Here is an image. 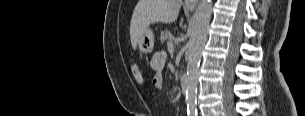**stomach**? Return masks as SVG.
<instances>
[{"instance_id": "stomach-1", "label": "stomach", "mask_w": 305, "mask_h": 116, "mask_svg": "<svg viewBox=\"0 0 305 116\" xmlns=\"http://www.w3.org/2000/svg\"><path fill=\"white\" fill-rule=\"evenodd\" d=\"M138 48L142 53H151L154 48V34L150 28H146L138 41Z\"/></svg>"}]
</instances>
